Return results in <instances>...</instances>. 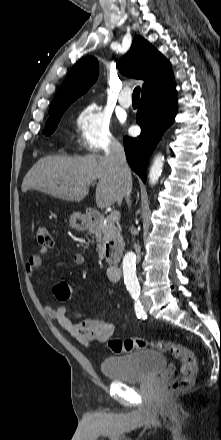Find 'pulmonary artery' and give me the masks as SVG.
I'll return each mask as SVG.
<instances>
[{
    "mask_svg": "<svg viewBox=\"0 0 221 440\" xmlns=\"http://www.w3.org/2000/svg\"><path fill=\"white\" fill-rule=\"evenodd\" d=\"M119 103L124 108H129L132 104L131 89L124 87L119 95Z\"/></svg>",
    "mask_w": 221,
    "mask_h": 440,
    "instance_id": "e3ab8cb5",
    "label": "pulmonary artery"
}]
</instances>
